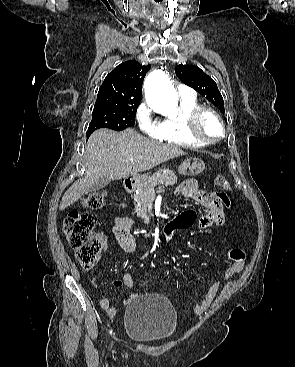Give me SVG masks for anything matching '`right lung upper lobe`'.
Here are the masks:
<instances>
[{
  "mask_svg": "<svg viewBox=\"0 0 295 367\" xmlns=\"http://www.w3.org/2000/svg\"><path fill=\"white\" fill-rule=\"evenodd\" d=\"M150 69L137 61H126L109 73L99 88L98 98L141 101L143 79Z\"/></svg>",
  "mask_w": 295,
  "mask_h": 367,
  "instance_id": "cb5924a9",
  "label": "right lung upper lobe"
}]
</instances>
